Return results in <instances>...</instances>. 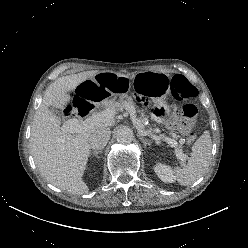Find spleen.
Here are the masks:
<instances>
[{"label":"spleen","instance_id":"3e777b00","mask_svg":"<svg viewBox=\"0 0 248 248\" xmlns=\"http://www.w3.org/2000/svg\"><path fill=\"white\" fill-rule=\"evenodd\" d=\"M212 141L205 131L194 143L188 163L183 168L175 167L177 181L182 186L196 182L208 169L211 161Z\"/></svg>","mask_w":248,"mask_h":248}]
</instances>
